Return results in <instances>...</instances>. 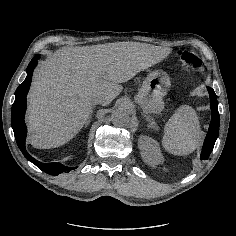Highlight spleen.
<instances>
[{
  "instance_id": "obj_1",
  "label": "spleen",
  "mask_w": 236,
  "mask_h": 236,
  "mask_svg": "<svg viewBox=\"0 0 236 236\" xmlns=\"http://www.w3.org/2000/svg\"><path fill=\"white\" fill-rule=\"evenodd\" d=\"M202 135L195 111L188 106H181L164 126L162 144L173 154L185 155L199 146Z\"/></svg>"
}]
</instances>
